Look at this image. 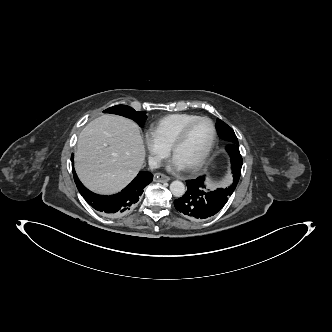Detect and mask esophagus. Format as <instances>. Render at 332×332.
Masks as SVG:
<instances>
[{
  "instance_id": "obj_1",
  "label": "esophagus",
  "mask_w": 332,
  "mask_h": 332,
  "mask_svg": "<svg viewBox=\"0 0 332 332\" xmlns=\"http://www.w3.org/2000/svg\"><path fill=\"white\" fill-rule=\"evenodd\" d=\"M169 180H170V177H168L167 175L162 174V173H157L154 176V181L155 182H166V181H169Z\"/></svg>"
}]
</instances>
